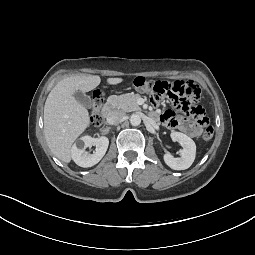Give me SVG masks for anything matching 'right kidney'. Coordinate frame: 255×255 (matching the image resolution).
I'll list each match as a JSON object with an SVG mask.
<instances>
[{
  "mask_svg": "<svg viewBox=\"0 0 255 255\" xmlns=\"http://www.w3.org/2000/svg\"><path fill=\"white\" fill-rule=\"evenodd\" d=\"M96 146L93 154L85 151L87 147ZM109 145L107 137L92 138L90 136L81 137L71 148L72 159L81 167L87 168L96 165L105 155Z\"/></svg>",
  "mask_w": 255,
  "mask_h": 255,
  "instance_id": "obj_1",
  "label": "right kidney"
}]
</instances>
